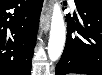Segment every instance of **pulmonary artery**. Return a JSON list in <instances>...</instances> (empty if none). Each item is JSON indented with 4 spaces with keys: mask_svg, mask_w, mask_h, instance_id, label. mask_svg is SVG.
Segmentation results:
<instances>
[{
    "mask_svg": "<svg viewBox=\"0 0 102 75\" xmlns=\"http://www.w3.org/2000/svg\"><path fill=\"white\" fill-rule=\"evenodd\" d=\"M69 3H70L71 5H74V0H69Z\"/></svg>",
    "mask_w": 102,
    "mask_h": 75,
    "instance_id": "obj_1",
    "label": "pulmonary artery"
}]
</instances>
